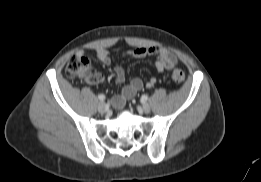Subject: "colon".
Returning a JSON list of instances; mask_svg holds the SVG:
<instances>
[{
	"label": "colon",
	"mask_w": 261,
	"mask_h": 182,
	"mask_svg": "<svg viewBox=\"0 0 261 182\" xmlns=\"http://www.w3.org/2000/svg\"><path fill=\"white\" fill-rule=\"evenodd\" d=\"M66 74L72 79L90 80L92 77V66L88 58L84 56H72L66 65ZM171 77L175 83H182L185 74L181 69L175 68L171 72Z\"/></svg>",
	"instance_id": "obj_1"
}]
</instances>
